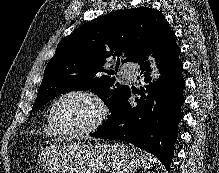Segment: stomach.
<instances>
[{
  "instance_id": "1",
  "label": "stomach",
  "mask_w": 219,
  "mask_h": 173,
  "mask_svg": "<svg viewBox=\"0 0 219 173\" xmlns=\"http://www.w3.org/2000/svg\"><path fill=\"white\" fill-rule=\"evenodd\" d=\"M47 173H133L140 166L138 153L119 143L55 142L39 157Z\"/></svg>"
}]
</instances>
